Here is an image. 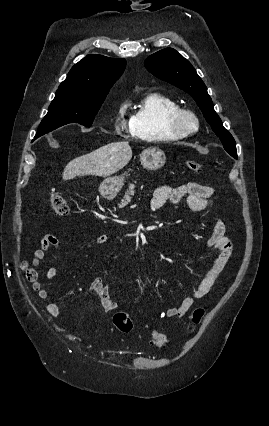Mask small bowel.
Segmentation results:
<instances>
[{
	"instance_id": "small-bowel-1",
	"label": "small bowel",
	"mask_w": 269,
	"mask_h": 426,
	"mask_svg": "<svg viewBox=\"0 0 269 426\" xmlns=\"http://www.w3.org/2000/svg\"><path fill=\"white\" fill-rule=\"evenodd\" d=\"M213 194L214 189L212 187L196 182H188L177 187L163 185L155 190L151 200V208L160 209L168 201L177 203L185 198L189 209L202 212L211 207ZM225 231L224 223L217 220L206 243L208 247H213L217 252L212 259L210 268L201 277L193 293L185 297L180 304L167 309L161 314V318H177L184 316L196 300L203 298L210 292L213 285L222 275L232 255V244L226 237ZM108 240L109 237L106 234H100L96 237L97 244H104L108 242ZM51 249H59V240L53 235H46L41 239L39 248L34 252L33 265L39 266L45 259L47 252ZM46 276L49 280H53L56 276V269L54 267H49ZM107 276L108 272H104L102 276L94 278L91 282V288L99 297L105 312H111L117 309L118 303L111 298ZM31 286L38 297L45 301L47 313L52 316H58L60 314V309L58 305L52 301L48 291L43 287L42 283L36 279L32 281Z\"/></svg>"
}]
</instances>
